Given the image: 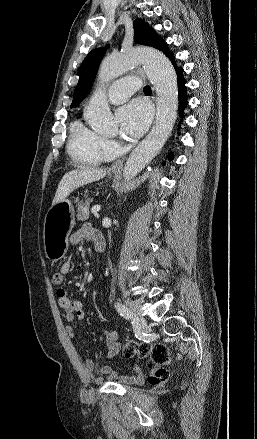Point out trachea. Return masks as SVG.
<instances>
[{
    "instance_id": "trachea-1",
    "label": "trachea",
    "mask_w": 257,
    "mask_h": 439,
    "mask_svg": "<svg viewBox=\"0 0 257 439\" xmlns=\"http://www.w3.org/2000/svg\"><path fill=\"white\" fill-rule=\"evenodd\" d=\"M144 92H145V93H149V92H151V88H150V86H145V87H144Z\"/></svg>"
}]
</instances>
